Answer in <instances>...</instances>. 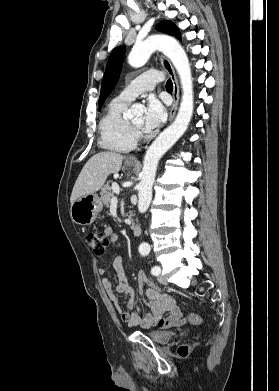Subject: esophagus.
<instances>
[{"instance_id": "34e87169", "label": "esophagus", "mask_w": 279, "mask_h": 391, "mask_svg": "<svg viewBox=\"0 0 279 391\" xmlns=\"http://www.w3.org/2000/svg\"><path fill=\"white\" fill-rule=\"evenodd\" d=\"M161 64L164 68V70L168 73L172 83H173V104L170 109V115H169V121L171 122L173 118L175 117L178 103H179V84L178 80L174 71V68L171 64V62L163 55L160 56ZM127 161L129 162H139L138 158L136 156H130L127 158Z\"/></svg>"}]
</instances>
